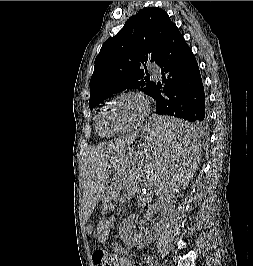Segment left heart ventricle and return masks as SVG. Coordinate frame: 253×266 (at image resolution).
Here are the masks:
<instances>
[{"label": "left heart ventricle", "mask_w": 253, "mask_h": 266, "mask_svg": "<svg viewBox=\"0 0 253 266\" xmlns=\"http://www.w3.org/2000/svg\"><path fill=\"white\" fill-rule=\"evenodd\" d=\"M142 112V104L134 98L126 97L107 106L99 121L104 134H113L132 124Z\"/></svg>", "instance_id": "b2bd125f"}]
</instances>
